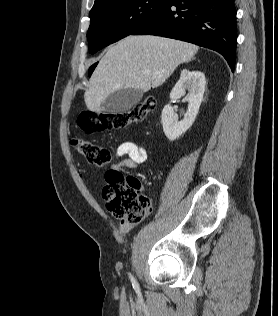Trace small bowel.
<instances>
[{"instance_id":"1","label":"small bowel","mask_w":278,"mask_h":316,"mask_svg":"<svg viewBox=\"0 0 278 316\" xmlns=\"http://www.w3.org/2000/svg\"><path fill=\"white\" fill-rule=\"evenodd\" d=\"M125 156L126 158L114 164L111 167V170H116L123 167L131 169L137 168L147 161L148 152L143 144L126 141L121 143L114 152V157L116 159H121ZM119 229L122 234H128L132 229V224L122 220L119 224Z\"/></svg>"}]
</instances>
